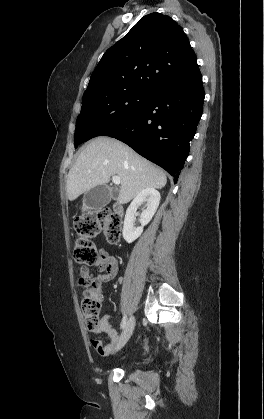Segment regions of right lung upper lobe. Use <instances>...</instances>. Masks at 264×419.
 Returning <instances> with one entry per match:
<instances>
[{
    "instance_id": "cb5924a9",
    "label": "right lung upper lobe",
    "mask_w": 264,
    "mask_h": 419,
    "mask_svg": "<svg viewBox=\"0 0 264 419\" xmlns=\"http://www.w3.org/2000/svg\"><path fill=\"white\" fill-rule=\"evenodd\" d=\"M200 75L182 27L156 12L141 18L104 53L84 96L132 88L152 92L167 84L191 82Z\"/></svg>"
}]
</instances>
